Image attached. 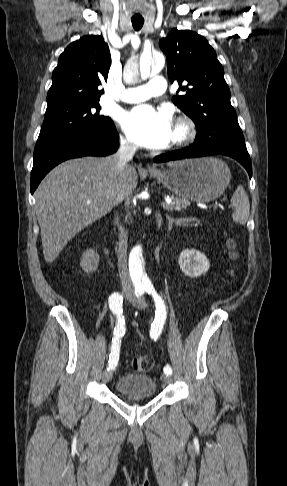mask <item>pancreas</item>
I'll use <instances>...</instances> for the list:
<instances>
[{
  "label": "pancreas",
  "mask_w": 287,
  "mask_h": 486,
  "mask_svg": "<svg viewBox=\"0 0 287 486\" xmlns=\"http://www.w3.org/2000/svg\"><path fill=\"white\" fill-rule=\"evenodd\" d=\"M189 205H190L189 200L181 199V198L172 196V204L165 209L168 210V211H173V210L181 211L183 209H186L187 206H189ZM128 217L130 218V215H127L126 218H128Z\"/></svg>",
  "instance_id": "cf45deb5"
}]
</instances>
